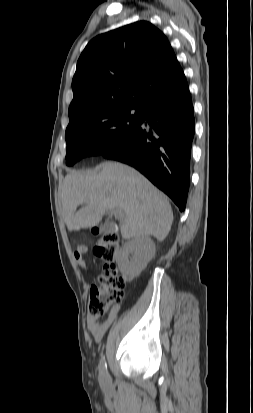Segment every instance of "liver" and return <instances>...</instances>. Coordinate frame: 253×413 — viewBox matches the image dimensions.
Segmentation results:
<instances>
[{"instance_id": "6515ba94", "label": "liver", "mask_w": 253, "mask_h": 413, "mask_svg": "<svg viewBox=\"0 0 253 413\" xmlns=\"http://www.w3.org/2000/svg\"><path fill=\"white\" fill-rule=\"evenodd\" d=\"M99 172H70L61 188L62 217L69 231L97 226L107 210H120L124 239L163 241L172 226L167 198L134 168L104 162ZM82 206L78 211L77 207Z\"/></svg>"}]
</instances>
